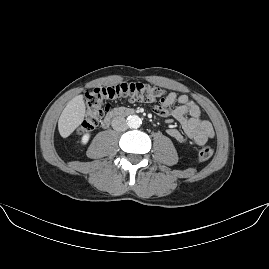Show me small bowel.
Masks as SVG:
<instances>
[{"label": "small bowel", "instance_id": "1", "mask_svg": "<svg viewBox=\"0 0 269 269\" xmlns=\"http://www.w3.org/2000/svg\"><path fill=\"white\" fill-rule=\"evenodd\" d=\"M155 112L162 117H173L179 122L185 134L198 146L205 145L214 137L211 122L202 119L198 105L186 95L168 92ZM167 132L175 140L184 141V136L179 130L171 128Z\"/></svg>", "mask_w": 269, "mask_h": 269}]
</instances>
